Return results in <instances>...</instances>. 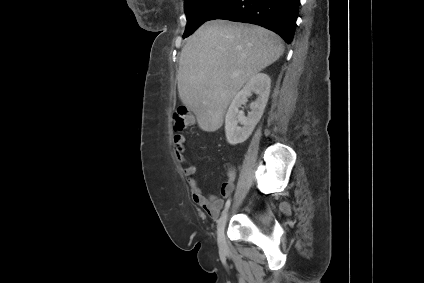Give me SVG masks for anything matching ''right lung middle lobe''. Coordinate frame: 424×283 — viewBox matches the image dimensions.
<instances>
[{"instance_id": "right-lung-middle-lobe-1", "label": "right lung middle lobe", "mask_w": 424, "mask_h": 283, "mask_svg": "<svg viewBox=\"0 0 424 283\" xmlns=\"http://www.w3.org/2000/svg\"><path fill=\"white\" fill-rule=\"evenodd\" d=\"M228 1L229 0H185L184 9L187 18V25L183 38L191 35Z\"/></svg>"}]
</instances>
